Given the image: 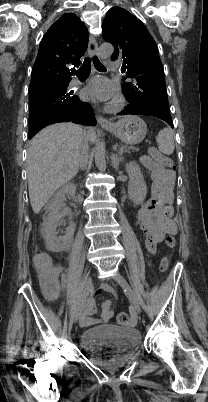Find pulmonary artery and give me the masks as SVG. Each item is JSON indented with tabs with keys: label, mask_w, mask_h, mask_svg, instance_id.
Listing matches in <instances>:
<instances>
[{
	"label": "pulmonary artery",
	"mask_w": 208,
	"mask_h": 402,
	"mask_svg": "<svg viewBox=\"0 0 208 402\" xmlns=\"http://www.w3.org/2000/svg\"><path fill=\"white\" fill-rule=\"evenodd\" d=\"M109 65H108V70L109 71H117L118 69H119V66H118V61L117 60H111L110 61V63H108Z\"/></svg>",
	"instance_id": "pulmonary-artery-1"
}]
</instances>
